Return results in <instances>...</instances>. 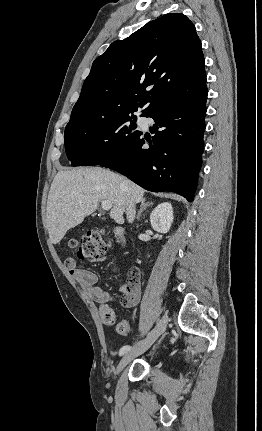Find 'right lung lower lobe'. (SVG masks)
<instances>
[{
    "instance_id": "98d812e1",
    "label": "right lung lower lobe",
    "mask_w": 262,
    "mask_h": 431,
    "mask_svg": "<svg viewBox=\"0 0 262 431\" xmlns=\"http://www.w3.org/2000/svg\"><path fill=\"white\" fill-rule=\"evenodd\" d=\"M207 94L205 85L193 97L155 110L147 116L155 121L150 127L155 133L152 138L139 133L121 152L99 165L149 191H171L193 201L204 149Z\"/></svg>"
}]
</instances>
